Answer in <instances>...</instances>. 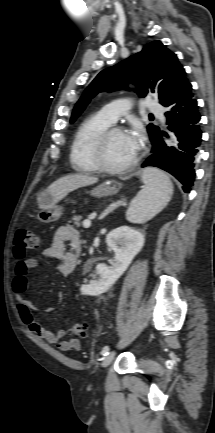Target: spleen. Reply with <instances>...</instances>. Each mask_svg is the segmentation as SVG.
<instances>
[{"label": "spleen", "instance_id": "3e777b00", "mask_svg": "<svg viewBox=\"0 0 215 433\" xmlns=\"http://www.w3.org/2000/svg\"><path fill=\"white\" fill-rule=\"evenodd\" d=\"M144 188L131 202L126 212L132 223H144L158 214L170 201L173 185L170 178L156 168H146L142 172Z\"/></svg>", "mask_w": 215, "mask_h": 433}]
</instances>
